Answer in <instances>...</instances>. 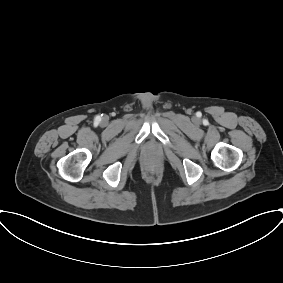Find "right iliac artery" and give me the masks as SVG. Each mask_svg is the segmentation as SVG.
Here are the masks:
<instances>
[{"label":"right iliac artery","instance_id":"1","mask_svg":"<svg viewBox=\"0 0 283 283\" xmlns=\"http://www.w3.org/2000/svg\"><path fill=\"white\" fill-rule=\"evenodd\" d=\"M96 122H99L100 121V117H96Z\"/></svg>","mask_w":283,"mask_h":283}]
</instances>
